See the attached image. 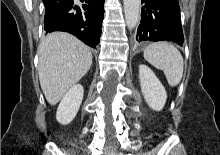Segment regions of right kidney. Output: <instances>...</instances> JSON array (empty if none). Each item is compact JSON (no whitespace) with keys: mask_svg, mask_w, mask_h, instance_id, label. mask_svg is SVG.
<instances>
[{"mask_svg":"<svg viewBox=\"0 0 220 155\" xmlns=\"http://www.w3.org/2000/svg\"><path fill=\"white\" fill-rule=\"evenodd\" d=\"M83 94V86L80 84L72 86L65 94L56 113V119L59 123L67 125L75 118L82 103Z\"/></svg>","mask_w":220,"mask_h":155,"instance_id":"right-kidney-1","label":"right kidney"}]
</instances>
